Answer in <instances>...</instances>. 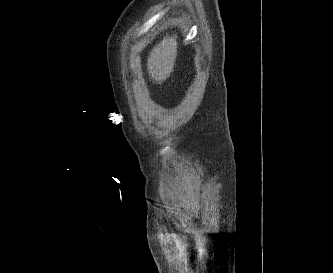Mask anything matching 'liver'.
Returning <instances> with one entry per match:
<instances>
[{
    "label": "liver",
    "instance_id": "obj_1",
    "mask_svg": "<svg viewBox=\"0 0 333 273\" xmlns=\"http://www.w3.org/2000/svg\"><path fill=\"white\" fill-rule=\"evenodd\" d=\"M177 36H166L158 43L147 59V70L153 82L161 84L171 74L177 55Z\"/></svg>",
    "mask_w": 333,
    "mask_h": 273
}]
</instances>
